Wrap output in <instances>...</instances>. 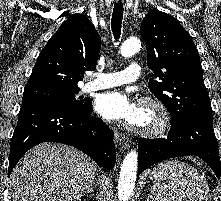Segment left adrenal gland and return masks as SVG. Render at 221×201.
I'll return each instance as SVG.
<instances>
[{"label":"left adrenal gland","instance_id":"1","mask_svg":"<svg viewBox=\"0 0 221 201\" xmlns=\"http://www.w3.org/2000/svg\"><path fill=\"white\" fill-rule=\"evenodd\" d=\"M150 199H152V200H153V198H152V195H151V194H149V195H148L147 201H149ZM153 201H154V200H153Z\"/></svg>","mask_w":221,"mask_h":201}]
</instances>
